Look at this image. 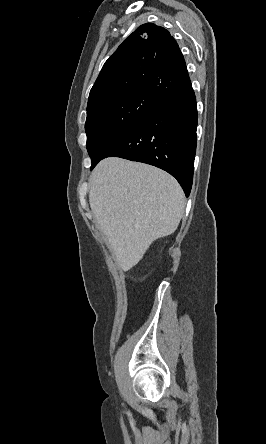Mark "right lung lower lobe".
I'll return each instance as SVG.
<instances>
[{
    "label": "right lung lower lobe",
    "mask_w": 266,
    "mask_h": 444,
    "mask_svg": "<svg viewBox=\"0 0 266 444\" xmlns=\"http://www.w3.org/2000/svg\"><path fill=\"white\" fill-rule=\"evenodd\" d=\"M196 128V98L190 84L161 99L141 123L107 148L103 158L121 157L161 168L177 179L188 197L193 180Z\"/></svg>",
    "instance_id": "right-lung-lower-lobe-1"
}]
</instances>
